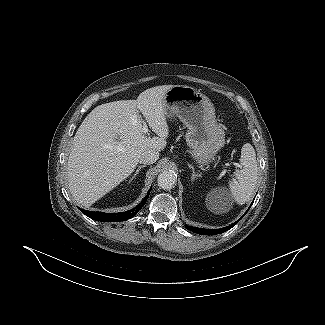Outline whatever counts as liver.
I'll list each match as a JSON object with an SVG mask.
<instances>
[{"mask_svg": "<svg viewBox=\"0 0 325 325\" xmlns=\"http://www.w3.org/2000/svg\"><path fill=\"white\" fill-rule=\"evenodd\" d=\"M173 86L149 88L136 100L101 104L87 115L74 136L67 166L77 203L91 206L131 175L142 152L165 148L169 128L164 97ZM139 111L158 137L142 132Z\"/></svg>", "mask_w": 325, "mask_h": 325, "instance_id": "6515ba94", "label": "liver"}]
</instances>
